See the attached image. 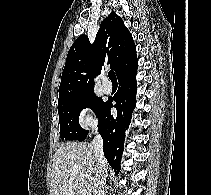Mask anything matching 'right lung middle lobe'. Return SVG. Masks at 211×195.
<instances>
[{"label": "right lung middle lobe", "instance_id": "dd1d6c3e", "mask_svg": "<svg viewBox=\"0 0 211 195\" xmlns=\"http://www.w3.org/2000/svg\"><path fill=\"white\" fill-rule=\"evenodd\" d=\"M105 102L94 92L58 104L61 139L82 141L86 138L88 130L79 125V114L84 108H91L96 117H99Z\"/></svg>", "mask_w": 211, "mask_h": 195}]
</instances>
